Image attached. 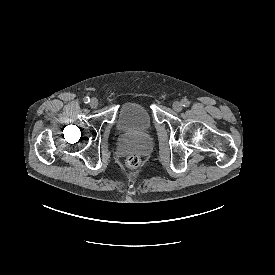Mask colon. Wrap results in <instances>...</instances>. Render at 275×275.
<instances>
[{
  "mask_svg": "<svg viewBox=\"0 0 275 275\" xmlns=\"http://www.w3.org/2000/svg\"><path fill=\"white\" fill-rule=\"evenodd\" d=\"M128 168L135 169L140 164V157L136 154L130 155L126 162Z\"/></svg>",
  "mask_w": 275,
  "mask_h": 275,
  "instance_id": "1",
  "label": "colon"
}]
</instances>
